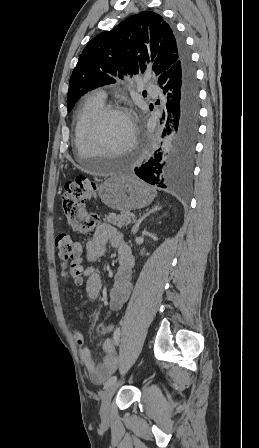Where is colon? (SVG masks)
Listing matches in <instances>:
<instances>
[{
  "label": "colon",
  "instance_id": "5ec220e1",
  "mask_svg": "<svg viewBox=\"0 0 259 448\" xmlns=\"http://www.w3.org/2000/svg\"><path fill=\"white\" fill-rule=\"evenodd\" d=\"M96 183L85 177L78 176L65 185L61 196V210L67 224L81 234H89L98 223L97 215L86 211V202L95 196ZM58 258L63 274L79 283L82 275L81 247L67 235L56 239Z\"/></svg>",
  "mask_w": 259,
  "mask_h": 448
}]
</instances>
